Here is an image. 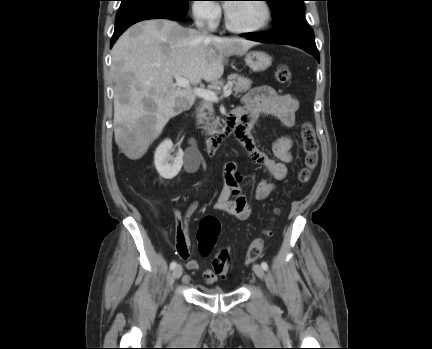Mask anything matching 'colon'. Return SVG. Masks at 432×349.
<instances>
[{"label": "colon", "mask_w": 432, "mask_h": 349, "mask_svg": "<svg viewBox=\"0 0 432 349\" xmlns=\"http://www.w3.org/2000/svg\"><path fill=\"white\" fill-rule=\"evenodd\" d=\"M275 77L280 84H289L292 80V73L287 65H280L276 70ZM300 135L304 152V163L299 172L298 180L300 183H306L317 166L319 145L314 128L310 122L303 123ZM218 234L219 223L216 218L206 217L201 221L197 234L198 248L201 255L207 256L211 253ZM270 235V230L264 232V236L268 237ZM263 248L264 239H255L247 249L245 264L256 261L261 256ZM231 265V253L228 249H222L214 255L212 266L216 274L223 277L228 276L231 271Z\"/></svg>", "instance_id": "obj_1"}]
</instances>
